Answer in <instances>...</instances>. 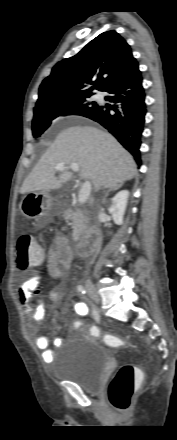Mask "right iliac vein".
<instances>
[{
  "mask_svg": "<svg viewBox=\"0 0 177 440\" xmlns=\"http://www.w3.org/2000/svg\"><path fill=\"white\" fill-rule=\"evenodd\" d=\"M86 289H87L89 296L92 298V300L95 301L96 303H99L100 296H99L95 286L91 282H87Z\"/></svg>",
  "mask_w": 177,
  "mask_h": 440,
  "instance_id": "right-iliac-vein-1",
  "label": "right iliac vein"
}]
</instances>
